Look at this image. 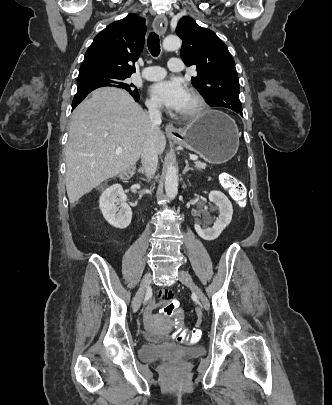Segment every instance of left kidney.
I'll use <instances>...</instances> for the list:
<instances>
[{
    "label": "left kidney",
    "instance_id": "left-kidney-1",
    "mask_svg": "<svg viewBox=\"0 0 332 405\" xmlns=\"http://www.w3.org/2000/svg\"><path fill=\"white\" fill-rule=\"evenodd\" d=\"M209 201L215 203L219 209L217 220L214 222L212 228H202L201 225L205 226L203 221L196 222L194 228L202 239L212 241L217 239L222 231L230 224L233 208L230 200L220 191H211L209 193Z\"/></svg>",
    "mask_w": 332,
    "mask_h": 405
}]
</instances>
